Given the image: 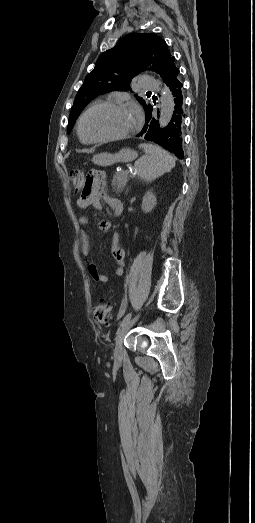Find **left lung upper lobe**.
<instances>
[{
	"label": "left lung upper lobe",
	"mask_w": 255,
	"mask_h": 523,
	"mask_svg": "<svg viewBox=\"0 0 255 523\" xmlns=\"http://www.w3.org/2000/svg\"><path fill=\"white\" fill-rule=\"evenodd\" d=\"M150 64L153 66L152 70L159 73L166 84L179 74V69L174 64V57L166 42L154 33L129 34L122 38L115 47L105 51L98 58L94 70L86 77L77 93L69 116L68 134L82 110L91 100L106 92L129 90L131 79ZM135 97L144 106V110L149 109L152 114L153 106L147 105L141 97H137V95ZM158 128L160 127L158 126ZM165 149L168 150V148Z\"/></svg>",
	"instance_id": "5c2ea615"
}]
</instances>
